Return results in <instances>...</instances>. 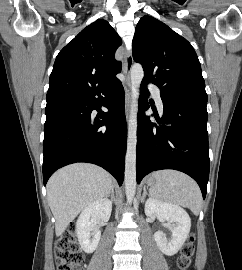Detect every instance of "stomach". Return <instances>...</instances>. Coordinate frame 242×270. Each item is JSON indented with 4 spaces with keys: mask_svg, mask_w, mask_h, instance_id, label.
<instances>
[{
    "mask_svg": "<svg viewBox=\"0 0 242 270\" xmlns=\"http://www.w3.org/2000/svg\"><path fill=\"white\" fill-rule=\"evenodd\" d=\"M147 184L150 187H153L156 184L155 178L153 176L149 177L148 180H147Z\"/></svg>",
    "mask_w": 242,
    "mask_h": 270,
    "instance_id": "obj_1",
    "label": "stomach"
}]
</instances>
